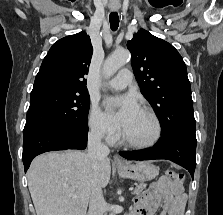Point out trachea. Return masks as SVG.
Masks as SVG:
<instances>
[{"mask_svg": "<svg viewBox=\"0 0 223 215\" xmlns=\"http://www.w3.org/2000/svg\"><path fill=\"white\" fill-rule=\"evenodd\" d=\"M109 20H110L111 29L113 31H116L119 26V16H118L117 12H112L109 16Z\"/></svg>", "mask_w": 223, "mask_h": 215, "instance_id": "1", "label": "trachea"}]
</instances>
